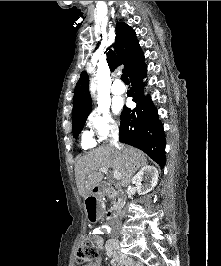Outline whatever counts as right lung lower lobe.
I'll return each instance as SVG.
<instances>
[{"label":"right lung lower lobe","instance_id":"1","mask_svg":"<svg viewBox=\"0 0 221 266\" xmlns=\"http://www.w3.org/2000/svg\"><path fill=\"white\" fill-rule=\"evenodd\" d=\"M146 72V64L142 62L128 75L132 87L127 95L133 97L137 106L135 109L124 106L121 113L119 141L142 150L163 168L166 163V139L157 109L151 97L144 95L142 79L146 77Z\"/></svg>","mask_w":221,"mask_h":266}]
</instances>
